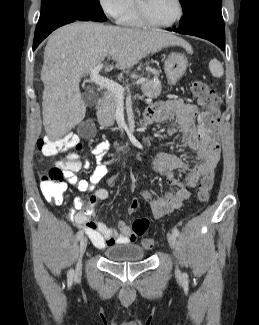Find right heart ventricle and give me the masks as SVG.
Instances as JSON below:
<instances>
[{"label": "right heart ventricle", "instance_id": "right-heart-ventricle-1", "mask_svg": "<svg viewBox=\"0 0 259 325\" xmlns=\"http://www.w3.org/2000/svg\"><path fill=\"white\" fill-rule=\"evenodd\" d=\"M119 21L123 24V25H127V26H133V27H137L140 26L142 24L141 20L139 19V16L137 14L136 11V5L133 4V6L131 7V9L129 11H127L120 19Z\"/></svg>", "mask_w": 259, "mask_h": 325}]
</instances>
